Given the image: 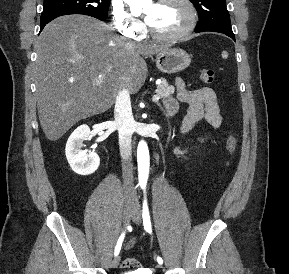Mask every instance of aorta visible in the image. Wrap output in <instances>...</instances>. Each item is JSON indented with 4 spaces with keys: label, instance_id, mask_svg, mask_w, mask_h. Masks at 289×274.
<instances>
[{
    "label": "aorta",
    "instance_id": "obj_1",
    "mask_svg": "<svg viewBox=\"0 0 289 274\" xmlns=\"http://www.w3.org/2000/svg\"><path fill=\"white\" fill-rule=\"evenodd\" d=\"M131 7L139 4L141 0H127ZM138 173L140 184H146L149 174V150L145 141H140L137 148Z\"/></svg>",
    "mask_w": 289,
    "mask_h": 274
}]
</instances>
